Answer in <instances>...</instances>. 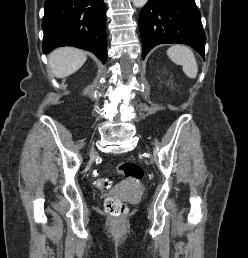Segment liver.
I'll return each instance as SVG.
<instances>
[{"instance_id":"obj_1","label":"liver","mask_w":248,"mask_h":258,"mask_svg":"<svg viewBox=\"0 0 248 258\" xmlns=\"http://www.w3.org/2000/svg\"><path fill=\"white\" fill-rule=\"evenodd\" d=\"M86 59L84 51L72 47L58 48L48 56L52 74L57 78H64L75 73Z\"/></svg>"}]
</instances>
